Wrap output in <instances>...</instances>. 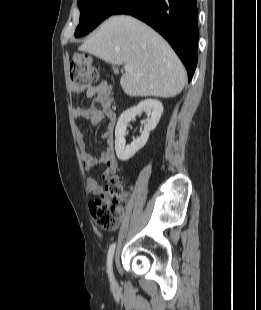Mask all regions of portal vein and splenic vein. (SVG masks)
<instances>
[{
  "instance_id": "1",
  "label": "portal vein and splenic vein",
  "mask_w": 261,
  "mask_h": 310,
  "mask_svg": "<svg viewBox=\"0 0 261 310\" xmlns=\"http://www.w3.org/2000/svg\"><path fill=\"white\" fill-rule=\"evenodd\" d=\"M124 69L125 71H131L132 67L130 65H125Z\"/></svg>"
}]
</instances>
